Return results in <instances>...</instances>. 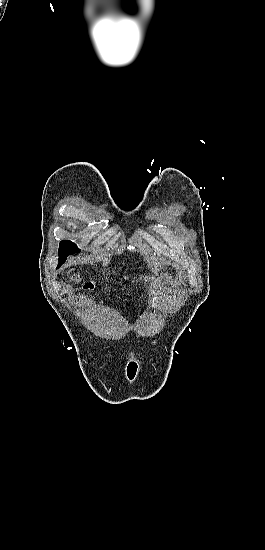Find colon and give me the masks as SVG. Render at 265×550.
<instances>
[{
	"mask_svg": "<svg viewBox=\"0 0 265 550\" xmlns=\"http://www.w3.org/2000/svg\"><path fill=\"white\" fill-rule=\"evenodd\" d=\"M85 289H86V290H94V289H95V285H93V284H87V285L85 286Z\"/></svg>",
	"mask_w": 265,
	"mask_h": 550,
	"instance_id": "1",
	"label": "colon"
}]
</instances>
